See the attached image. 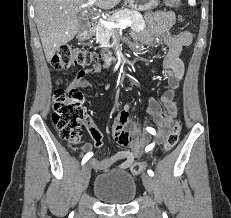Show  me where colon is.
<instances>
[{"instance_id":"obj_1","label":"colon","mask_w":231,"mask_h":218,"mask_svg":"<svg viewBox=\"0 0 231 218\" xmlns=\"http://www.w3.org/2000/svg\"><path fill=\"white\" fill-rule=\"evenodd\" d=\"M167 6L176 8L180 0H165ZM101 56L89 50L64 45L52 57L50 65L55 70H67L99 63ZM83 93L73 85L66 88H59L54 92V105L52 120L58 129L59 136L68 141L71 145L77 143L82 135L83 127L88 124V116L83 106ZM182 124L177 121L166 136L163 144V151L169 152L178 143ZM147 167L145 161H136L131 164L130 170L138 175L144 172Z\"/></svg>"}]
</instances>
